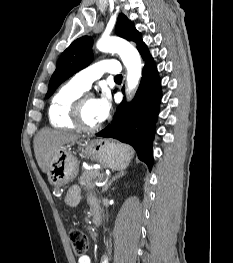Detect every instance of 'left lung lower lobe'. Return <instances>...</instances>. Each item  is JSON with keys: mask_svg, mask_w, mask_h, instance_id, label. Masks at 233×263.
<instances>
[{"mask_svg": "<svg viewBox=\"0 0 233 263\" xmlns=\"http://www.w3.org/2000/svg\"><path fill=\"white\" fill-rule=\"evenodd\" d=\"M139 52L145 59L146 66L135 98L131 103L124 99L117 107L111 124L97 133V136L114 138L131 145L138 158L151 169L152 142L161 99V81L147 46L144 45Z\"/></svg>", "mask_w": 233, "mask_h": 263, "instance_id": "1", "label": "left lung lower lobe"}]
</instances>
